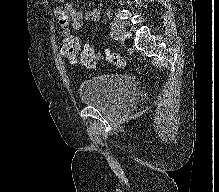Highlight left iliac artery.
Returning a JSON list of instances; mask_svg holds the SVG:
<instances>
[{
	"instance_id": "1",
	"label": "left iliac artery",
	"mask_w": 219,
	"mask_h": 192,
	"mask_svg": "<svg viewBox=\"0 0 219 192\" xmlns=\"http://www.w3.org/2000/svg\"><path fill=\"white\" fill-rule=\"evenodd\" d=\"M110 35H111V37H113L115 40H118V39H117V36H116V34H115V32H114V30H112V31L110 32Z\"/></svg>"
}]
</instances>
